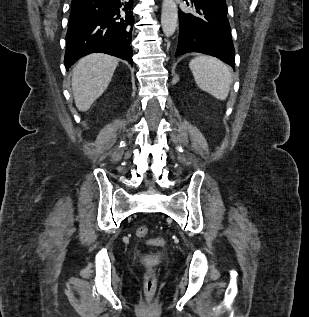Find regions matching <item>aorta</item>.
Segmentation results:
<instances>
[{
  "instance_id": "1",
  "label": "aorta",
  "mask_w": 309,
  "mask_h": 317,
  "mask_svg": "<svg viewBox=\"0 0 309 317\" xmlns=\"http://www.w3.org/2000/svg\"><path fill=\"white\" fill-rule=\"evenodd\" d=\"M178 12L174 0H163L161 25L165 36H172L177 27Z\"/></svg>"
}]
</instances>
